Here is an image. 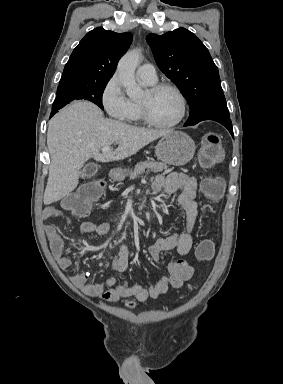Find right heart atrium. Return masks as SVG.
<instances>
[{"label":"right heart atrium","mask_w":283,"mask_h":384,"mask_svg":"<svg viewBox=\"0 0 283 384\" xmlns=\"http://www.w3.org/2000/svg\"><path fill=\"white\" fill-rule=\"evenodd\" d=\"M101 103L111 122L119 126L129 122L130 100L125 95L117 73H114L103 85Z\"/></svg>","instance_id":"1"}]
</instances>
